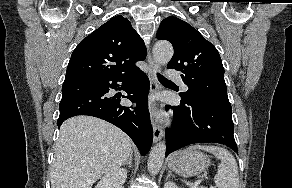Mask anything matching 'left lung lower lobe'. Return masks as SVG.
<instances>
[{
  "mask_svg": "<svg viewBox=\"0 0 292 188\" xmlns=\"http://www.w3.org/2000/svg\"><path fill=\"white\" fill-rule=\"evenodd\" d=\"M174 122L165 132L166 156L193 143H220L237 151L231 105L227 101L182 99L179 106H166Z\"/></svg>",
  "mask_w": 292,
  "mask_h": 188,
  "instance_id": "left-lung-lower-lobe-1",
  "label": "left lung lower lobe"
}]
</instances>
